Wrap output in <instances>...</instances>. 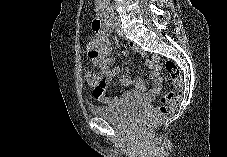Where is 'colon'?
I'll return each instance as SVG.
<instances>
[{"mask_svg":"<svg viewBox=\"0 0 227 157\" xmlns=\"http://www.w3.org/2000/svg\"><path fill=\"white\" fill-rule=\"evenodd\" d=\"M164 68L171 78L175 91H169L162 97L161 105L156 108L149 124L161 123L167 115L173 112L179 105V95L183 89V79L180 70L177 65L170 60L165 62ZM85 78L87 84L93 88L99 86L101 81L100 75L91 69L86 71Z\"/></svg>","mask_w":227,"mask_h":157,"instance_id":"obj_1","label":"colon"}]
</instances>
